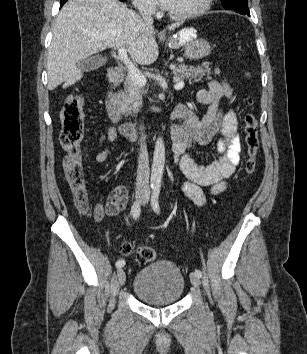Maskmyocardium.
Returning a JSON list of instances; mask_svg holds the SVG:
<instances>
[{"mask_svg": "<svg viewBox=\"0 0 307 354\" xmlns=\"http://www.w3.org/2000/svg\"><path fill=\"white\" fill-rule=\"evenodd\" d=\"M212 2H213V0H202L201 3L195 9H193L189 12H186L183 14H174L168 10L167 15L171 19L177 20V21H184V20H188L191 18H195L197 16L202 15L204 12H206L210 8Z\"/></svg>", "mask_w": 307, "mask_h": 354, "instance_id": "obj_1", "label": "myocardium"}]
</instances>
